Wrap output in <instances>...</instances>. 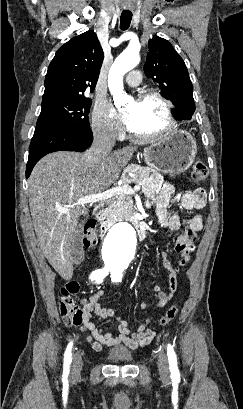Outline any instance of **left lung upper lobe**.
Instances as JSON below:
<instances>
[{"label": "left lung upper lobe", "mask_w": 243, "mask_h": 409, "mask_svg": "<svg viewBox=\"0 0 243 409\" xmlns=\"http://www.w3.org/2000/svg\"><path fill=\"white\" fill-rule=\"evenodd\" d=\"M144 72L160 86L161 93L176 107L175 117L188 120L195 111L193 86L183 59L172 45L158 36L149 41Z\"/></svg>", "instance_id": "5c2ea615"}]
</instances>
